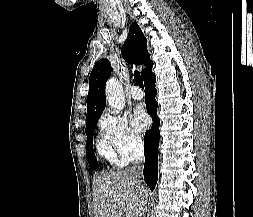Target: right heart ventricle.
I'll return each mask as SVG.
<instances>
[{"label":"right heart ventricle","instance_id":"e07e8e85","mask_svg":"<svg viewBox=\"0 0 253 217\" xmlns=\"http://www.w3.org/2000/svg\"><path fill=\"white\" fill-rule=\"evenodd\" d=\"M96 148L100 157L108 160L110 163L116 166L124 165V160L118 155L104 135L98 137L96 141Z\"/></svg>","mask_w":253,"mask_h":217}]
</instances>
